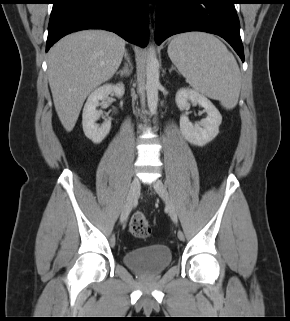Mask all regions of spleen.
Masks as SVG:
<instances>
[{"instance_id": "spleen-1", "label": "spleen", "mask_w": 290, "mask_h": 321, "mask_svg": "<svg viewBox=\"0 0 290 321\" xmlns=\"http://www.w3.org/2000/svg\"><path fill=\"white\" fill-rule=\"evenodd\" d=\"M168 55L197 92L232 109L240 94V70L234 56L215 36L193 32L176 36Z\"/></svg>"}]
</instances>
